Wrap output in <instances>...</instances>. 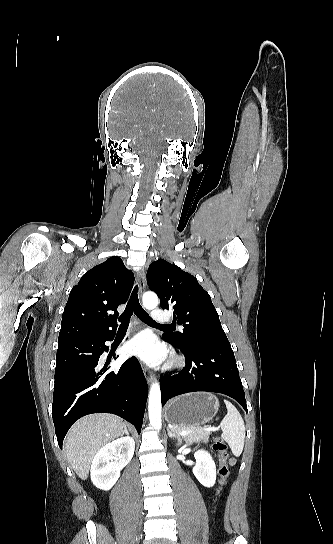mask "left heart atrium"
<instances>
[{
	"label": "left heart atrium",
	"instance_id": "1",
	"mask_svg": "<svg viewBox=\"0 0 333 544\" xmlns=\"http://www.w3.org/2000/svg\"><path fill=\"white\" fill-rule=\"evenodd\" d=\"M127 352L152 365L162 362L166 357L165 348L157 344L148 333H141L134 337L127 345Z\"/></svg>",
	"mask_w": 333,
	"mask_h": 544
}]
</instances>
